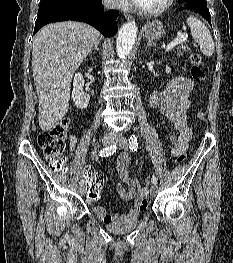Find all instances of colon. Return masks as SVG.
<instances>
[{"label":"colon","mask_w":233,"mask_h":263,"mask_svg":"<svg viewBox=\"0 0 233 263\" xmlns=\"http://www.w3.org/2000/svg\"><path fill=\"white\" fill-rule=\"evenodd\" d=\"M191 62V76L197 81L201 82L205 78L204 69L202 66V57L198 53L190 55ZM70 128V121L62 119L58 121L50 130L44 131L38 136V144L42 149L43 155L49 162L50 166L60 171L64 168L65 158L63 152L65 150V141ZM176 162L181 163L186 159V152L179 153L176 157ZM83 179L87 180L88 190H84V195L90 199V202H99L100 190L103 185L102 175H97L96 171H84ZM149 181L147 180L144 187H148Z\"/></svg>","instance_id":"colon-1"}]
</instances>
